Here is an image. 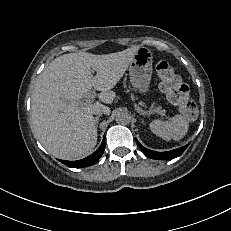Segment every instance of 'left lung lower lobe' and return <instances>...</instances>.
<instances>
[{"mask_svg": "<svg viewBox=\"0 0 231 231\" xmlns=\"http://www.w3.org/2000/svg\"><path fill=\"white\" fill-rule=\"evenodd\" d=\"M136 142L139 146V148L141 149L142 152H144V154L152 159H157V160H170V159H174L178 156H180L185 149L187 148L188 144L184 147L175 149V150H171V151H167V152H155V151H151L145 147H143L138 140L136 139Z\"/></svg>", "mask_w": 231, "mask_h": 231, "instance_id": "0a47b994", "label": "left lung lower lobe"}]
</instances>
